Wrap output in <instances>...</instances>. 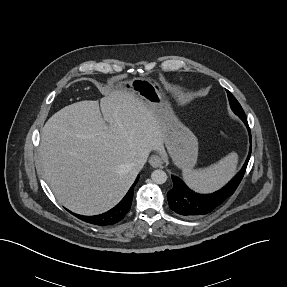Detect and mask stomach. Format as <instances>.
<instances>
[{
	"label": "stomach",
	"instance_id": "obj_1",
	"mask_svg": "<svg viewBox=\"0 0 287 287\" xmlns=\"http://www.w3.org/2000/svg\"><path fill=\"white\" fill-rule=\"evenodd\" d=\"M113 91L133 92L161 121L164 127V144L174 161L182 169H191L197 161L198 141L173 112L166 90L153 77L116 81Z\"/></svg>",
	"mask_w": 287,
	"mask_h": 287
}]
</instances>
